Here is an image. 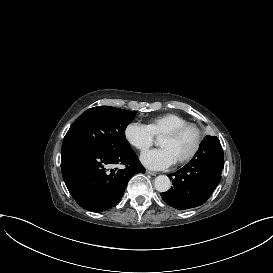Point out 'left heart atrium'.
I'll return each instance as SVG.
<instances>
[{
  "label": "left heart atrium",
  "mask_w": 273,
  "mask_h": 273,
  "mask_svg": "<svg viewBox=\"0 0 273 273\" xmlns=\"http://www.w3.org/2000/svg\"><path fill=\"white\" fill-rule=\"evenodd\" d=\"M141 162L150 169H162L176 163L169 150L164 147L145 151L141 155Z\"/></svg>",
  "instance_id": "1"
}]
</instances>
